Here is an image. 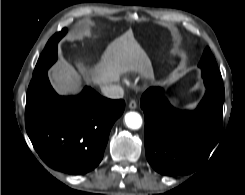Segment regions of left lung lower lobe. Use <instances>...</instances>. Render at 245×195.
I'll return each mask as SVG.
<instances>
[{"mask_svg": "<svg viewBox=\"0 0 245 195\" xmlns=\"http://www.w3.org/2000/svg\"><path fill=\"white\" fill-rule=\"evenodd\" d=\"M204 83L205 95L192 112L174 108L160 87H151L142 95L146 157L163 175L192 173L203 164L220 138L224 86L211 80Z\"/></svg>", "mask_w": 245, "mask_h": 195, "instance_id": "left-lung-lower-lobe-1", "label": "left lung lower lobe"}]
</instances>
